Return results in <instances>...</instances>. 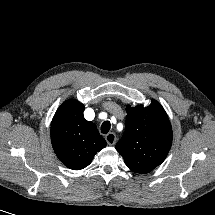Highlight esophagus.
Returning <instances> with one entry per match:
<instances>
[{
    "label": "esophagus",
    "instance_id": "obj_1",
    "mask_svg": "<svg viewBox=\"0 0 215 215\" xmlns=\"http://www.w3.org/2000/svg\"><path fill=\"white\" fill-rule=\"evenodd\" d=\"M105 140L108 145L112 146L116 143V135L113 132H110L105 136Z\"/></svg>",
    "mask_w": 215,
    "mask_h": 215
}]
</instances>
